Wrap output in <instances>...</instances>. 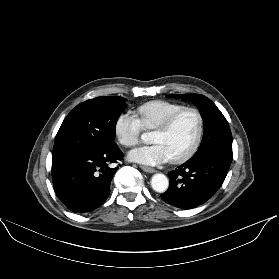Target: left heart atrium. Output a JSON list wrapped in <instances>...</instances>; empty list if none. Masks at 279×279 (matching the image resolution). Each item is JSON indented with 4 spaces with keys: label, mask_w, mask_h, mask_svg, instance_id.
<instances>
[{
    "label": "left heart atrium",
    "mask_w": 279,
    "mask_h": 279,
    "mask_svg": "<svg viewBox=\"0 0 279 279\" xmlns=\"http://www.w3.org/2000/svg\"><path fill=\"white\" fill-rule=\"evenodd\" d=\"M128 157L132 161L147 165L163 163L171 158L165 147L160 143L135 148L129 152Z\"/></svg>",
    "instance_id": "obj_1"
}]
</instances>
